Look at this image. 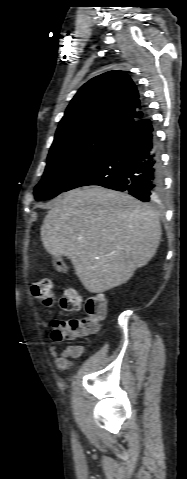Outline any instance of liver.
<instances>
[{"label":"liver","instance_id":"obj_1","mask_svg":"<svg viewBox=\"0 0 187 479\" xmlns=\"http://www.w3.org/2000/svg\"><path fill=\"white\" fill-rule=\"evenodd\" d=\"M160 238L154 211L128 194L101 186L60 195L41 226L46 251L70 259L91 293L126 283L153 258Z\"/></svg>","mask_w":187,"mask_h":479}]
</instances>
